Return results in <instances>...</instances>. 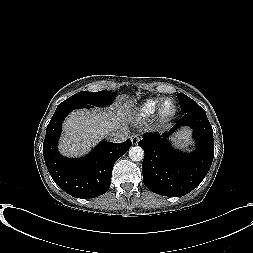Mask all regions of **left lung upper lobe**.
<instances>
[{
  "instance_id": "1",
  "label": "left lung upper lobe",
  "mask_w": 253,
  "mask_h": 253,
  "mask_svg": "<svg viewBox=\"0 0 253 253\" xmlns=\"http://www.w3.org/2000/svg\"><path fill=\"white\" fill-rule=\"evenodd\" d=\"M177 97L179 99L181 111L183 114L203 111V109L194 100H192L185 94L178 93Z\"/></svg>"
}]
</instances>
